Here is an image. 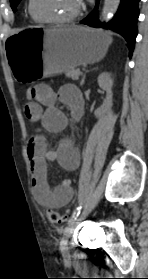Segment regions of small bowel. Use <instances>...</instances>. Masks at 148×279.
<instances>
[{
  "label": "small bowel",
  "mask_w": 148,
  "mask_h": 279,
  "mask_svg": "<svg viewBox=\"0 0 148 279\" xmlns=\"http://www.w3.org/2000/svg\"><path fill=\"white\" fill-rule=\"evenodd\" d=\"M36 96L24 105L26 118L33 123L40 122L49 132L59 133L68 125V117L55 102L64 103L77 119L83 109L79 90L72 85L62 86L57 92L46 84L35 87ZM27 154L32 173V190L36 201L46 208H59L67 205L73 198L70 179L62 180L51 188L47 180V161H56L66 170H75L80 162L77 148L70 140H63L56 150H49L45 137H32L27 144Z\"/></svg>",
  "instance_id": "obj_1"
}]
</instances>
